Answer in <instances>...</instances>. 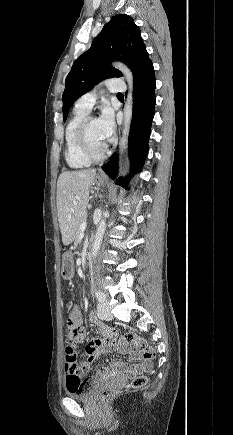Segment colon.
<instances>
[{"mask_svg": "<svg viewBox=\"0 0 233 435\" xmlns=\"http://www.w3.org/2000/svg\"><path fill=\"white\" fill-rule=\"evenodd\" d=\"M81 329V318L76 311L75 306L69 308V317L67 319V337L68 342L64 347L65 364L74 369H78L79 365L76 360L75 345L73 339ZM120 341L122 343L131 344L135 347V350L139 352L146 360H153L156 357V352L147 341L138 336L136 333L128 332L119 335L115 330L108 329V339L105 341L104 346L110 349L114 342ZM148 382V375L146 373H139L131 379L129 387L139 388ZM92 382L82 381L79 376L73 375L68 380L67 389L71 392H85L89 390ZM117 394V390L114 388H106L102 391L100 399L103 402L112 400Z\"/></svg>", "mask_w": 233, "mask_h": 435, "instance_id": "5ec220e1", "label": "colon"}]
</instances>
